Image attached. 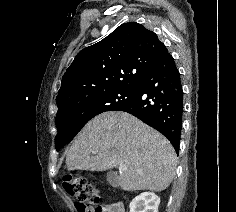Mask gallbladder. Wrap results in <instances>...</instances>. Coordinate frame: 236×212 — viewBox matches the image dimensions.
<instances>
[{"label": "gallbladder", "mask_w": 236, "mask_h": 212, "mask_svg": "<svg viewBox=\"0 0 236 212\" xmlns=\"http://www.w3.org/2000/svg\"><path fill=\"white\" fill-rule=\"evenodd\" d=\"M107 181L112 185V186H117L118 185V178L115 173L113 172H108L107 173Z\"/></svg>", "instance_id": "bac80fb5"}]
</instances>
